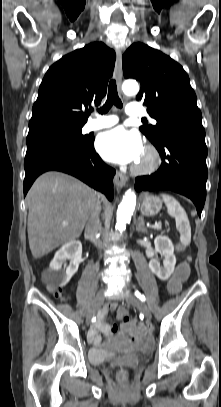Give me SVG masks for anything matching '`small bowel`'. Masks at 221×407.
Instances as JSON below:
<instances>
[{
	"mask_svg": "<svg viewBox=\"0 0 221 407\" xmlns=\"http://www.w3.org/2000/svg\"><path fill=\"white\" fill-rule=\"evenodd\" d=\"M117 306L116 303H111L105 307H103L96 319V323L94 328L89 333V340L94 344H100L102 341V335L110 336L117 332L118 327L116 325H111L105 321V318L110 310L115 309ZM131 321V320H130ZM120 330L123 333H127L130 330H122L120 326Z\"/></svg>",
	"mask_w": 221,
	"mask_h": 407,
	"instance_id": "1",
	"label": "small bowel"
}]
</instances>
